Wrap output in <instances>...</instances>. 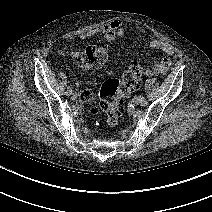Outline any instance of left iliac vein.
I'll list each match as a JSON object with an SVG mask.
<instances>
[{
	"mask_svg": "<svg viewBox=\"0 0 212 212\" xmlns=\"http://www.w3.org/2000/svg\"><path fill=\"white\" fill-rule=\"evenodd\" d=\"M135 103H136L137 105H141V106H142V98H141V97H137V98L135 99Z\"/></svg>",
	"mask_w": 212,
	"mask_h": 212,
	"instance_id": "left-iliac-vein-1",
	"label": "left iliac vein"
}]
</instances>
